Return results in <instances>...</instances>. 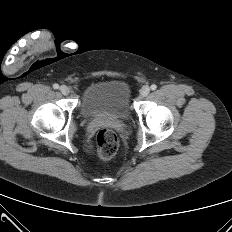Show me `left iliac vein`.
I'll list each match as a JSON object with an SVG mask.
<instances>
[{
    "label": "left iliac vein",
    "mask_w": 232,
    "mask_h": 232,
    "mask_svg": "<svg viewBox=\"0 0 232 232\" xmlns=\"http://www.w3.org/2000/svg\"><path fill=\"white\" fill-rule=\"evenodd\" d=\"M149 93H150V87L149 86L145 85L140 89V95L142 97H146Z\"/></svg>",
    "instance_id": "left-iliac-vein-1"
}]
</instances>
